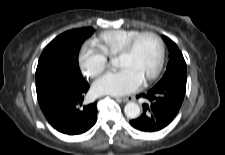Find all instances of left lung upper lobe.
Instances as JSON below:
<instances>
[{
  "label": "left lung upper lobe",
  "mask_w": 225,
  "mask_h": 155,
  "mask_svg": "<svg viewBox=\"0 0 225 155\" xmlns=\"http://www.w3.org/2000/svg\"><path fill=\"white\" fill-rule=\"evenodd\" d=\"M169 49V62L163 78L157 84L179 83L186 86V62L177 45L163 36Z\"/></svg>",
  "instance_id": "left-lung-upper-lobe-1"
}]
</instances>
